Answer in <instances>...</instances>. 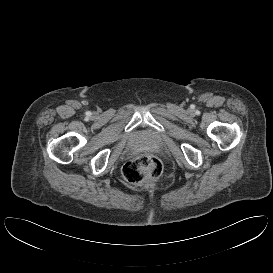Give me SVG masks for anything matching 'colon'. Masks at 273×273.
<instances>
[{
	"label": "colon",
	"mask_w": 273,
	"mask_h": 273,
	"mask_svg": "<svg viewBox=\"0 0 273 273\" xmlns=\"http://www.w3.org/2000/svg\"><path fill=\"white\" fill-rule=\"evenodd\" d=\"M162 171L161 162L150 155H142L125 164L123 177L131 184L139 185L147 180H155Z\"/></svg>",
	"instance_id": "colon-1"
}]
</instances>
